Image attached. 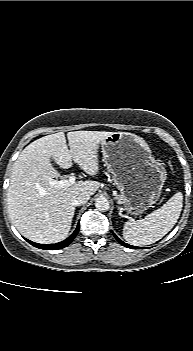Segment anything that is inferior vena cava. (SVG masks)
<instances>
[{
  "instance_id": "obj_1",
  "label": "inferior vena cava",
  "mask_w": 193,
  "mask_h": 351,
  "mask_svg": "<svg viewBox=\"0 0 193 351\" xmlns=\"http://www.w3.org/2000/svg\"><path fill=\"white\" fill-rule=\"evenodd\" d=\"M90 199V194L86 191L80 192L78 195H76L74 203L75 205H83L87 203V201Z\"/></svg>"
}]
</instances>
